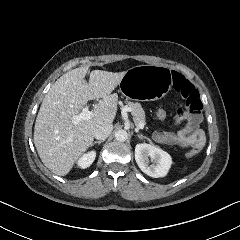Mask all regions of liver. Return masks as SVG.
Returning <instances> with one entry per match:
<instances>
[{
  "mask_svg": "<svg viewBox=\"0 0 240 240\" xmlns=\"http://www.w3.org/2000/svg\"><path fill=\"white\" fill-rule=\"evenodd\" d=\"M88 66L62 75L42 101L34 127V144L43 164L53 173L64 175L74 160L93 141L97 128L113 121L117 96L110 94L125 72L93 70L87 81ZM114 96V98H112ZM101 98L94 105L95 117L77 125L71 118L79 114L88 100Z\"/></svg>",
  "mask_w": 240,
  "mask_h": 240,
  "instance_id": "liver-1",
  "label": "liver"
}]
</instances>
